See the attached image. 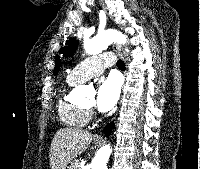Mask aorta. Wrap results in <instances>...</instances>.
<instances>
[{
  "label": "aorta",
  "mask_w": 200,
  "mask_h": 169,
  "mask_svg": "<svg viewBox=\"0 0 200 169\" xmlns=\"http://www.w3.org/2000/svg\"><path fill=\"white\" fill-rule=\"evenodd\" d=\"M112 43L125 44L126 37L120 32L108 30L98 33L92 39L85 38L83 47L87 54L95 55L107 49ZM74 91L81 96H86L89 93V89L86 86H78ZM110 155L111 147L109 144L101 147L92 160V169H108L107 162Z\"/></svg>",
  "instance_id": "aorta-1"
}]
</instances>
